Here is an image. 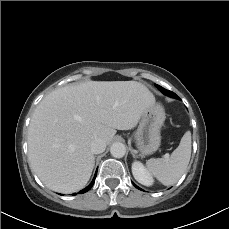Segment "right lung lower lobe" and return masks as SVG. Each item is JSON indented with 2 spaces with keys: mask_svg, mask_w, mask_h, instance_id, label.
I'll return each mask as SVG.
<instances>
[{
  "mask_svg": "<svg viewBox=\"0 0 229 229\" xmlns=\"http://www.w3.org/2000/svg\"><path fill=\"white\" fill-rule=\"evenodd\" d=\"M96 174H97V173H96ZM96 174H95V176H94L92 182H91L85 189L81 190L79 193H85V192H87L89 189H91V187L93 186V184H94V182H95ZM73 195H75V194H73Z\"/></svg>",
  "mask_w": 229,
  "mask_h": 229,
  "instance_id": "1",
  "label": "right lung lower lobe"
}]
</instances>
